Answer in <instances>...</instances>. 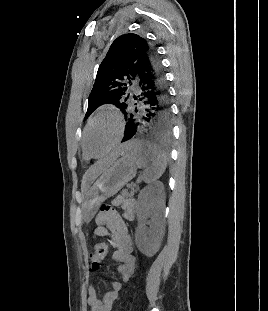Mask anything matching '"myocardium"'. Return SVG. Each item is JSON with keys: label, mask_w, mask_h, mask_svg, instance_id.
<instances>
[{"label": "myocardium", "mask_w": 268, "mask_h": 311, "mask_svg": "<svg viewBox=\"0 0 268 311\" xmlns=\"http://www.w3.org/2000/svg\"><path fill=\"white\" fill-rule=\"evenodd\" d=\"M103 116H110L115 120L116 125H117V133H116V136H115L114 140L112 141V143L109 145V147L103 153H101L99 155H92L88 152V150L86 148V136H87V133H88L90 127L92 126V124L96 120H98L99 118H101ZM123 133H124V120H123L122 115L117 110H115L113 108L100 109L99 111H97L95 114H93L88 119V121L84 127L83 135H82V139H81L83 151L85 152V154L88 157L101 158V157L107 155L109 152H111L118 145V143L122 139Z\"/></svg>", "instance_id": "myocardium-1"}]
</instances>
